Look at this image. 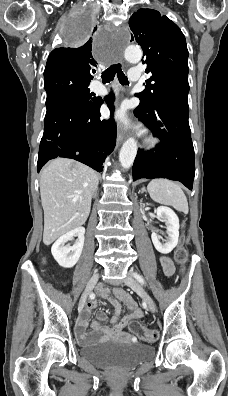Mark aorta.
<instances>
[{
  "label": "aorta",
  "mask_w": 228,
  "mask_h": 396,
  "mask_svg": "<svg viewBox=\"0 0 228 396\" xmlns=\"http://www.w3.org/2000/svg\"><path fill=\"white\" fill-rule=\"evenodd\" d=\"M125 59L129 62H139L142 58V50L139 47L128 46L124 51ZM137 154V142L134 138L127 139L119 154V161L124 169H129Z\"/></svg>",
  "instance_id": "obj_1"
}]
</instances>
